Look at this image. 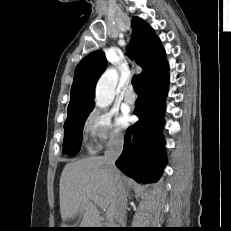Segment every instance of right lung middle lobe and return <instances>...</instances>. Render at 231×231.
Here are the masks:
<instances>
[{
  "label": "right lung middle lobe",
  "mask_w": 231,
  "mask_h": 231,
  "mask_svg": "<svg viewBox=\"0 0 231 231\" xmlns=\"http://www.w3.org/2000/svg\"><path fill=\"white\" fill-rule=\"evenodd\" d=\"M92 109L67 116L64 124L63 154L75 155L82 142V129Z\"/></svg>",
  "instance_id": "obj_1"
}]
</instances>
